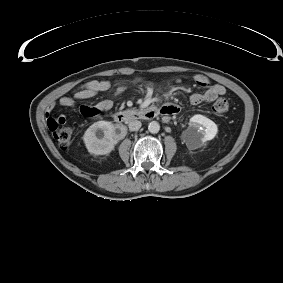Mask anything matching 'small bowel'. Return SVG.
Instances as JSON below:
<instances>
[{"label": "small bowel", "instance_id": "c3829d8e", "mask_svg": "<svg viewBox=\"0 0 283 283\" xmlns=\"http://www.w3.org/2000/svg\"><path fill=\"white\" fill-rule=\"evenodd\" d=\"M193 81L196 85L203 88L204 91L201 93H193L190 95L189 100L193 105H199L204 102H210L215 100L216 98L223 96L226 93L225 88L222 85H210L209 79L202 75L196 74L193 77ZM131 82L134 84L144 83L145 80L143 78H134L129 81H119L118 84L121 85L123 83ZM112 87V82L107 79H96L88 81L75 90H73L70 94L64 95L59 99V104L63 107L72 108L77 105L79 100H84L88 98H92L95 95L105 92ZM112 107V102L110 100H104L100 102L97 106H81L80 110L83 115L86 117H93L98 115L102 111H108ZM52 107L49 109V111ZM177 112L175 106L170 104H165L162 107V113L169 115ZM47 126L51 130L58 124H63L66 122V118L64 115H59L57 117H51L49 113H47L46 118Z\"/></svg>", "mask_w": 283, "mask_h": 283}]
</instances>
